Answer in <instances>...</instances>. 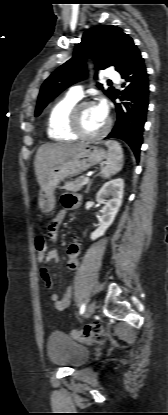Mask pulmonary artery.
Returning <instances> with one entry per match:
<instances>
[{"instance_id": "1", "label": "pulmonary artery", "mask_w": 168, "mask_h": 415, "mask_svg": "<svg viewBox=\"0 0 168 415\" xmlns=\"http://www.w3.org/2000/svg\"><path fill=\"white\" fill-rule=\"evenodd\" d=\"M107 77L114 82H119L120 80L119 74L112 69L108 70ZM67 95L69 97L79 100L83 96V89L80 85L73 86L72 88H70Z\"/></svg>"}]
</instances>
